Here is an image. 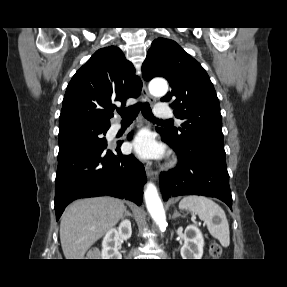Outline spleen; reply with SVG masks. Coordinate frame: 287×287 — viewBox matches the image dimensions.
<instances>
[{
  "instance_id": "spleen-1",
  "label": "spleen",
  "mask_w": 287,
  "mask_h": 287,
  "mask_svg": "<svg viewBox=\"0 0 287 287\" xmlns=\"http://www.w3.org/2000/svg\"><path fill=\"white\" fill-rule=\"evenodd\" d=\"M179 208L197 214L206 223L210 234L218 239L223 247L229 246L230 231L228 220L224 210L217 203L204 196L190 195L180 201ZM214 218H217L219 222H215Z\"/></svg>"
}]
</instances>
